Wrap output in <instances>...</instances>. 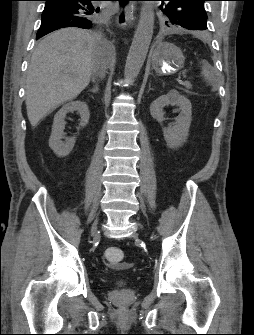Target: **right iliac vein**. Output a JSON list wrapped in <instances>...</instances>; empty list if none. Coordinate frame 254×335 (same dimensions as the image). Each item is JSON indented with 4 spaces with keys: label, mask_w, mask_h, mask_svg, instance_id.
<instances>
[{
    "label": "right iliac vein",
    "mask_w": 254,
    "mask_h": 335,
    "mask_svg": "<svg viewBox=\"0 0 254 335\" xmlns=\"http://www.w3.org/2000/svg\"><path fill=\"white\" fill-rule=\"evenodd\" d=\"M97 220L93 223V225H92V228H91V231H92V233H94V234H97L98 233V229H97Z\"/></svg>",
    "instance_id": "obj_1"
}]
</instances>
